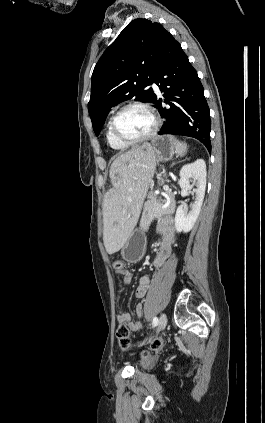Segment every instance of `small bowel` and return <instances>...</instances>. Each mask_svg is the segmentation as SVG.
Segmentation results:
<instances>
[{
	"label": "small bowel",
	"mask_w": 265,
	"mask_h": 423,
	"mask_svg": "<svg viewBox=\"0 0 265 423\" xmlns=\"http://www.w3.org/2000/svg\"><path fill=\"white\" fill-rule=\"evenodd\" d=\"M157 230L162 235V240L160 243V247L157 251V255L154 259L153 265L154 267L159 268L171 256L172 249L176 243V232L173 219L171 217L163 218L159 222ZM117 273L122 276L125 285H128L130 283L132 274L127 268L124 267L123 270L118 271ZM149 284L150 278L148 276L140 277L135 290V295L137 298L142 299L145 297L149 288ZM142 313L143 306L142 304H138L135 309V317H132L128 313L120 311L117 314V320L119 323H127L131 330L138 331L142 327L138 319L142 315Z\"/></svg>",
	"instance_id": "1"
}]
</instances>
